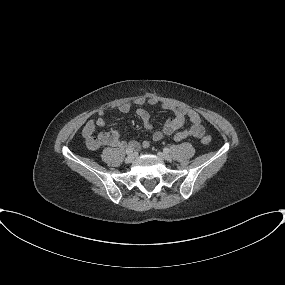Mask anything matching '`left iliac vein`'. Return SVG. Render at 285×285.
Instances as JSON below:
<instances>
[{
  "instance_id": "1",
  "label": "left iliac vein",
  "mask_w": 285,
  "mask_h": 285,
  "mask_svg": "<svg viewBox=\"0 0 285 285\" xmlns=\"http://www.w3.org/2000/svg\"><path fill=\"white\" fill-rule=\"evenodd\" d=\"M157 155L162 160H170V156L164 152H158Z\"/></svg>"
}]
</instances>
